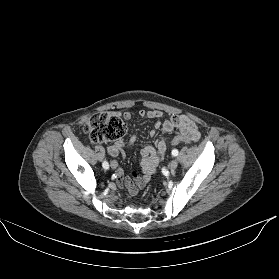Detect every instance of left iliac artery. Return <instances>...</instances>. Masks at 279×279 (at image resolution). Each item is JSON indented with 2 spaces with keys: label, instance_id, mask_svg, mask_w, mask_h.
Returning <instances> with one entry per match:
<instances>
[{
  "label": "left iliac artery",
  "instance_id": "44dca946",
  "mask_svg": "<svg viewBox=\"0 0 279 279\" xmlns=\"http://www.w3.org/2000/svg\"><path fill=\"white\" fill-rule=\"evenodd\" d=\"M172 155L177 156L178 155V150L177 149L172 150Z\"/></svg>",
  "mask_w": 279,
  "mask_h": 279
}]
</instances>
